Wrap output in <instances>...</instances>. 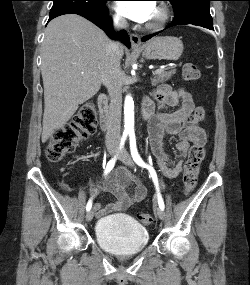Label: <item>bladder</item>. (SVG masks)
<instances>
[{
    "label": "bladder",
    "mask_w": 250,
    "mask_h": 285,
    "mask_svg": "<svg viewBox=\"0 0 250 285\" xmlns=\"http://www.w3.org/2000/svg\"><path fill=\"white\" fill-rule=\"evenodd\" d=\"M97 244L105 251L127 256L141 252L149 242V233L134 219L123 215L100 219L94 230Z\"/></svg>",
    "instance_id": "1"
}]
</instances>
